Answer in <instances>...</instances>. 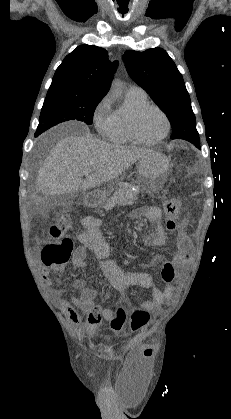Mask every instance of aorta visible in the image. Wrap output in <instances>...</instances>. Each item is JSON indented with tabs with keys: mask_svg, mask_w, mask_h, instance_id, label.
I'll list each match as a JSON object with an SVG mask.
<instances>
[{
	"mask_svg": "<svg viewBox=\"0 0 231 419\" xmlns=\"http://www.w3.org/2000/svg\"><path fill=\"white\" fill-rule=\"evenodd\" d=\"M115 91H116V92H119V90H118L117 88H115Z\"/></svg>",
	"mask_w": 231,
	"mask_h": 419,
	"instance_id": "1",
	"label": "aorta"
}]
</instances>
